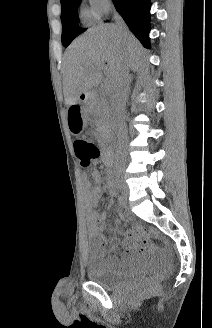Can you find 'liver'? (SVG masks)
<instances>
[{
	"label": "liver",
	"instance_id": "1",
	"mask_svg": "<svg viewBox=\"0 0 212 328\" xmlns=\"http://www.w3.org/2000/svg\"><path fill=\"white\" fill-rule=\"evenodd\" d=\"M142 54L140 43L127 28L121 33L113 24L89 29L65 51V103H75L80 95L89 93L102 83L105 67L108 75L103 86L112 91L120 73L129 68L135 71L141 65Z\"/></svg>",
	"mask_w": 212,
	"mask_h": 328
}]
</instances>
